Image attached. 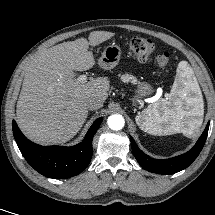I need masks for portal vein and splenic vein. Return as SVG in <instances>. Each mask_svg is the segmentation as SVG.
<instances>
[{
	"mask_svg": "<svg viewBox=\"0 0 215 215\" xmlns=\"http://www.w3.org/2000/svg\"><path fill=\"white\" fill-rule=\"evenodd\" d=\"M77 81L80 83H84L87 81V76L85 74H82L77 78Z\"/></svg>",
	"mask_w": 215,
	"mask_h": 215,
	"instance_id": "18ae733b",
	"label": "portal vein and splenic vein"
}]
</instances>
